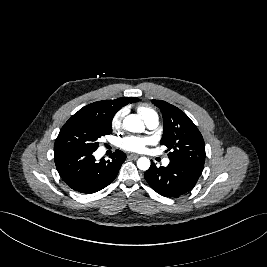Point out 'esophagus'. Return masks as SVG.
<instances>
[{
  "label": "esophagus",
  "instance_id": "esophagus-1",
  "mask_svg": "<svg viewBox=\"0 0 267 267\" xmlns=\"http://www.w3.org/2000/svg\"><path fill=\"white\" fill-rule=\"evenodd\" d=\"M139 157V155H137V154H130V155H128V158L129 159H137Z\"/></svg>",
  "mask_w": 267,
  "mask_h": 267
}]
</instances>
